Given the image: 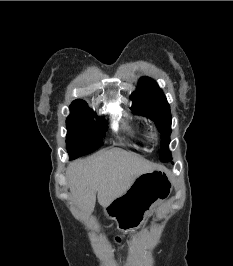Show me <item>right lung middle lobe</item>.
Segmentation results:
<instances>
[{
  "mask_svg": "<svg viewBox=\"0 0 233 266\" xmlns=\"http://www.w3.org/2000/svg\"><path fill=\"white\" fill-rule=\"evenodd\" d=\"M71 114L66 120V144L70 159L89 154L102 145L107 124L94 121L96 115L85 101L70 106Z\"/></svg>",
  "mask_w": 233,
  "mask_h": 266,
  "instance_id": "dd1d6c3e",
  "label": "right lung middle lobe"
}]
</instances>
